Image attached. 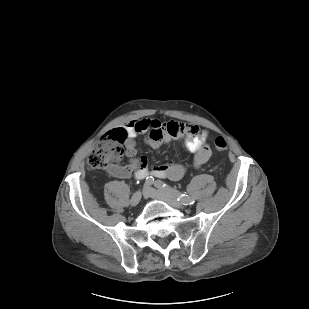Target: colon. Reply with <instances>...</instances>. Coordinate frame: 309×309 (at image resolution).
Segmentation results:
<instances>
[{"label": "colon", "mask_w": 309, "mask_h": 309, "mask_svg": "<svg viewBox=\"0 0 309 309\" xmlns=\"http://www.w3.org/2000/svg\"><path fill=\"white\" fill-rule=\"evenodd\" d=\"M125 135L121 131H113L100 139L92 148L87 166L91 170L113 169L114 164L122 159L125 154L122 146ZM218 151L227 149V142L223 137H217L214 140Z\"/></svg>", "instance_id": "1"}]
</instances>
